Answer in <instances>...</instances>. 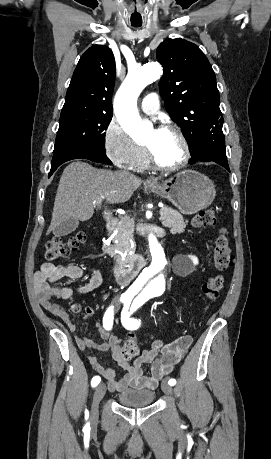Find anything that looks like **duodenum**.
Returning a JSON list of instances; mask_svg holds the SVG:
<instances>
[{
    "label": "duodenum",
    "mask_w": 271,
    "mask_h": 459,
    "mask_svg": "<svg viewBox=\"0 0 271 459\" xmlns=\"http://www.w3.org/2000/svg\"><path fill=\"white\" fill-rule=\"evenodd\" d=\"M116 225L115 219L110 217L106 220V229L112 231ZM144 262L141 258H134L127 269L115 275L116 282L121 286H126L137 276L142 269Z\"/></svg>",
    "instance_id": "obj_1"
}]
</instances>
